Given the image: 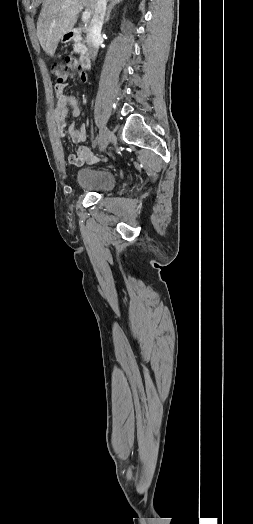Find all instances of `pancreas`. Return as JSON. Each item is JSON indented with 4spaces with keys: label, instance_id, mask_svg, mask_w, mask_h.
Here are the masks:
<instances>
[{
    "label": "pancreas",
    "instance_id": "pancreas-1",
    "mask_svg": "<svg viewBox=\"0 0 253 524\" xmlns=\"http://www.w3.org/2000/svg\"><path fill=\"white\" fill-rule=\"evenodd\" d=\"M73 49H74V52L80 53L81 55H83L85 52V46L79 40H75Z\"/></svg>",
    "mask_w": 253,
    "mask_h": 524
}]
</instances>
